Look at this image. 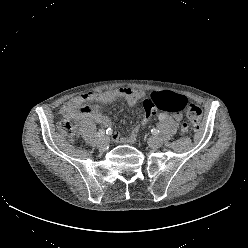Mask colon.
Here are the masks:
<instances>
[{
    "mask_svg": "<svg viewBox=\"0 0 248 248\" xmlns=\"http://www.w3.org/2000/svg\"><path fill=\"white\" fill-rule=\"evenodd\" d=\"M143 125H146L156 111L179 113L184 111L189 121V128L197 131L202 123L203 112L200 107L189 102L182 95L169 91L152 93L143 104ZM58 129L70 139L75 137L74 126L66 121L58 124Z\"/></svg>",
    "mask_w": 248,
    "mask_h": 248,
    "instance_id": "colon-1",
    "label": "colon"
}]
</instances>
